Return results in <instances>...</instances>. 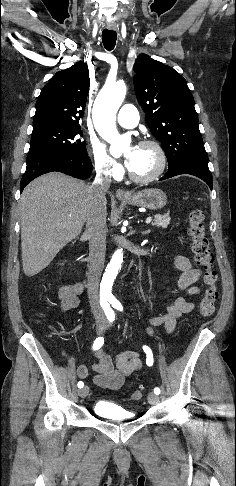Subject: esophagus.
Wrapping results in <instances>:
<instances>
[{"label":"esophagus","instance_id":"obj_1","mask_svg":"<svg viewBox=\"0 0 236 486\" xmlns=\"http://www.w3.org/2000/svg\"><path fill=\"white\" fill-rule=\"evenodd\" d=\"M109 30H117L115 27H108ZM116 197L118 198H126L130 196V193L127 191H124L123 189H117L115 192Z\"/></svg>","mask_w":236,"mask_h":486}]
</instances>
